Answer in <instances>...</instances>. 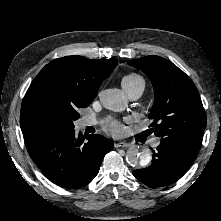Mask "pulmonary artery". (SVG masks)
<instances>
[{
  "instance_id": "1",
  "label": "pulmonary artery",
  "mask_w": 221,
  "mask_h": 221,
  "mask_svg": "<svg viewBox=\"0 0 221 221\" xmlns=\"http://www.w3.org/2000/svg\"><path fill=\"white\" fill-rule=\"evenodd\" d=\"M123 88H124V90L130 100H137L138 98H140V96L142 95V93L144 91L143 84H137V85H133L130 87H123ZM96 123H97L96 120H84V121H82L81 125H82V127H85V126H89V125H94ZM158 145H159V140L155 139L153 141V146L156 147Z\"/></svg>"
}]
</instances>
